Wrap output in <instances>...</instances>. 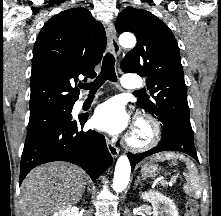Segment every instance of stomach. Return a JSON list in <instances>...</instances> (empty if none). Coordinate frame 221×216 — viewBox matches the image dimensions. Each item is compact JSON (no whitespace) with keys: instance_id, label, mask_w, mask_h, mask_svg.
I'll list each match as a JSON object with an SVG mask.
<instances>
[{"instance_id":"0dacf381","label":"stomach","mask_w":221,"mask_h":216,"mask_svg":"<svg viewBox=\"0 0 221 216\" xmlns=\"http://www.w3.org/2000/svg\"><path fill=\"white\" fill-rule=\"evenodd\" d=\"M141 173L144 177L154 178L159 173V167L153 163H147L142 166Z\"/></svg>"}]
</instances>
